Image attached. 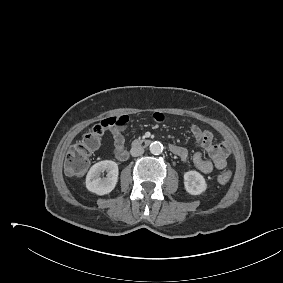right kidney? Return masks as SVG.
Masks as SVG:
<instances>
[{"label":"right kidney","instance_id":"ca27d5eb","mask_svg":"<svg viewBox=\"0 0 283 283\" xmlns=\"http://www.w3.org/2000/svg\"><path fill=\"white\" fill-rule=\"evenodd\" d=\"M107 172L106 177L101 178L103 172ZM118 165L114 161L104 160L94 164L86 176V188L97 195L110 193L118 181Z\"/></svg>","mask_w":283,"mask_h":283}]
</instances>
